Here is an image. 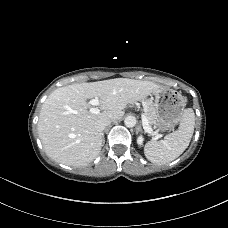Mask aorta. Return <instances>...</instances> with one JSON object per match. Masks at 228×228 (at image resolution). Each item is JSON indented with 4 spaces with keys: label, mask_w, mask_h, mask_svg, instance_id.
<instances>
[{
    "label": "aorta",
    "mask_w": 228,
    "mask_h": 228,
    "mask_svg": "<svg viewBox=\"0 0 228 228\" xmlns=\"http://www.w3.org/2000/svg\"><path fill=\"white\" fill-rule=\"evenodd\" d=\"M124 124L128 128H132L136 125V118L133 116H127L124 120Z\"/></svg>",
    "instance_id": "aorta-1"
}]
</instances>
